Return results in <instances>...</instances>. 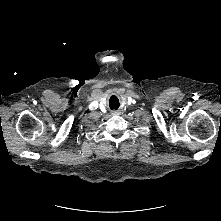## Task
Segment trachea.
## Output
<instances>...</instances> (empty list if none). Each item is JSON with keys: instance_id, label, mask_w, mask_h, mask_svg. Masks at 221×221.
Returning <instances> with one entry per match:
<instances>
[{"instance_id": "1", "label": "trachea", "mask_w": 221, "mask_h": 221, "mask_svg": "<svg viewBox=\"0 0 221 221\" xmlns=\"http://www.w3.org/2000/svg\"><path fill=\"white\" fill-rule=\"evenodd\" d=\"M120 106L119 100L115 95H112L110 100H109V107L111 109H118V107Z\"/></svg>"}]
</instances>
